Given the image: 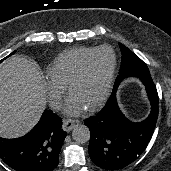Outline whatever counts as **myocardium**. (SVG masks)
<instances>
[{
    "instance_id": "obj_1",
    "label": "myocardium",
    "mask_w": 171,
    "mask_h": 171,
    "mask_svg": "<svg viewBox=\"0 0 171 171\" xmlns=\"http://www.w3.org/2000/svg\"><path fill=\"white\" fill-rule=\"evenodd\" d=\"M103 50H108L111 52L112 56H113V64L105 85V89L101 95V97L93 104L89 107V110H95L98 107H100L109 97L111 90H112V86H113V82H114V78H115V74H116V69H117V55L115 53V51L113 50V48H111L110 46L104 45V46H100L98 48H95V50L90 53L84 60L83 62L80 64V66L78 67V69L76 70V72L74 73V75L71 77L69 84H68V91L70 92L73 85L83 76L88 64L90 63V61L92 60V58L99 53L100 51Z\"/></svg>"
}]
</instances>
